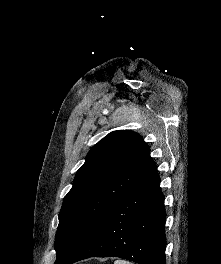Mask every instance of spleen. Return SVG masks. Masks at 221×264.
Instances as JSON below:
<instances>
[{
    "label": "spleen",
    "instance_id": "spleen-1",
    "mask_svg": "<svg viewBox=\"0 0 221 264\" xmlns=\"http://www.w3.org/2000/svg\"><path fill=\"white\" fill-rule=\"evenodd\" d=\"M114 264H132L128 261L122 260V259H117Z\"/></svg>",
    "mask_w": 221,
    "mask_h": 264
}]
</instances>
